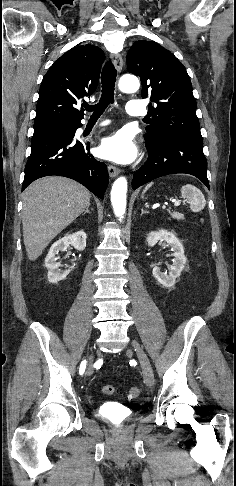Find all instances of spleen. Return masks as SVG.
I'll return each instance as SVG.
<instances>
[{
	"instance_id": "1",
	"label": "spleen",
	"mask_w": 236,
	"mask_h": 486,
	"mask_svg": "<svg viewBox=\"0 0 236 486\" xmlns=\"http://www.w3.org/2000/svg\"><path fill=\"white\" fill-rule=\"evenodd\" d=\"M153 182L146 185L143 193H145L149 187H151ZM181 195L183 198H186L190 204V209L193 212H199L204 209L206 205V200L202 192L191 184L184 185L181 188Z\"/></svg>"
}]
</instances>
